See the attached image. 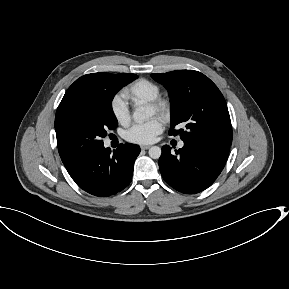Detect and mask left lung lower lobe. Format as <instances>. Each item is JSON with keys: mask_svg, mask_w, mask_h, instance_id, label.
I'll list each match as a JSON object with an SVG mask.
<instances>
[{"mask_svg": "<svg viewBox=\"0 0 289 289\" xmlns=\"http://www.w3.org/2000/svg\"><path fill=\"white\" fill-rule=\"evenodd\" d=\"M230 146L205 141H184V147L171 153L163 146L159 169L163 179L185 194L208 188L223 170Z\"/></svg>", "mask_w": 289, "mask_h": 289, "instance_id": "obj_1", "label": "left lung lower lobe"}]
</instances>
